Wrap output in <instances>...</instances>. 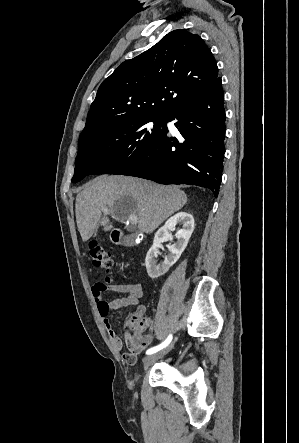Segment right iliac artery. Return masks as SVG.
Returning <instances> with one entry per match:
<instances>
[{
    "instance_id": "obj_1",
    "label": "right iliac artery",
    "mask_w": 299,
    "mask_h": 443,
    "mask_svg": "<svg viewBox=\"0 0 299 443\" xmlns=\"http://www.w3.org/2000/svg\"><path fill=\"white\" fill-rule=\"evenodd\" d=\"M171 341H172V335L170 334L164 342H162L158 346H155V347H152V348L148 349L146 351V354L150 355V354H153V353H156V352L162 350L163 348L167 347L170 344Z\"/></svg>"
}]
</instances>
